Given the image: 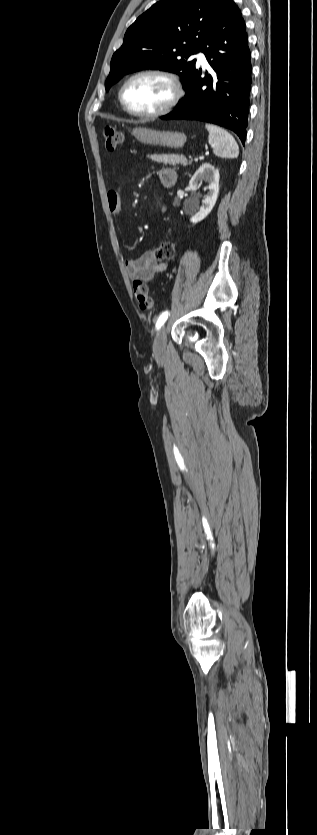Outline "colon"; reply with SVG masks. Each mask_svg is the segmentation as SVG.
I'll return each mask as SVG.
<instances>
[{"label": "colon", "mask_w": 317, "mask_h": 835, "mask_svg": "<svg viewBox=\"0 0 317 835\" xmlns=\"http://www.w3.org/2000/svg\"><path fill=\"white\" fill-rule=\"evenodd\" d=\"M103 136L108 150L116 149L123 140L122 133L111 126L104 129ZM152 252L157 260H170L176 256L177 245L172 241H166ZM133 291L141 309L148 310L152 308L153 300L149 296L147 285L144 282L133 280Z\"/></svg>", "instance_id": "1"}]
</instances>
